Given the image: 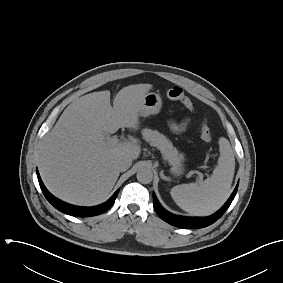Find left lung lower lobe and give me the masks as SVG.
<instances>
[{
  "label": "left lung lower lobe",
  "mask_w": 283,
  "mask_h": 283,
  "mask_svg": "<svg viewBox=\"0 0 283 283\" xmlns=\"http://www.w3.org/2000/svg\"><path fill=\"white\" fill-rule=\"evenodd\" d=\"M238 189V185L235 187L232 195L228 199V201L224 204V206L217 211L215 214L209 216V217H183V216H177L174 215L168 211H166L158 202L156 195L153 194V204L154 209L156 213L160 216L161 219L166 221L167 223L180 227V228H187V229H194V228H204L207 227L214 222H216L227 210V208L230 206L231 202L233 201L236 192Z\"/></svg>",
  "instance_id": "1"
}]
</instances>
